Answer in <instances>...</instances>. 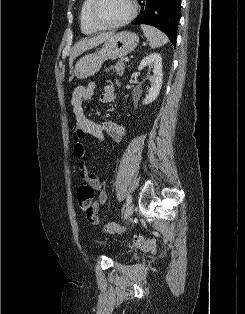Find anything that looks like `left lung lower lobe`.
<instances>
[{
  "instance_id": "0a47b994",
  "label": "left lung lower lobe",
  "mask_w": 245,
  "mask_h": 314,
  "mask_svg": "<svg viewBox=\"0 0 245 314\" xmlns=\"http://www.w3.org/2000/svg\"><path fill=\"white\" fill-rule=\"evenodd\" d=\"M138 3L141 7L140 15L132 23L161 29L175 45L181 0H138Z\"/></svg>"
}]
</instances>
